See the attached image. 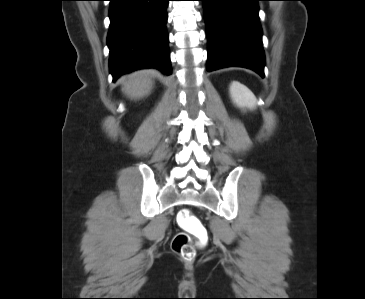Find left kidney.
Returning <instances> with one entry per match:
<instances>
[{
  "label": "left kidney",
  "mask_w": 365,
  "mask_h": 299,
  "mask_svg": "<svg viewBox=\"0 0 365 299\" xmlns=\"http://www.w3.org/2000/svg\"><path fill=\"white\" fill-rule=\"evenodd\" d=\"M230 95L232 101L239 108L253 109L256 106V100L253 93L241 83L233 81L230 86Z\"/></svg>",
  "instance_id": "5707ae66"
}]
</instances>
